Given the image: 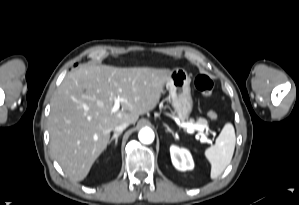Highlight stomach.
I'll return each instance as SVG.
<instances>
[{"label": "stomach", "mask_w": 299, "mask_h": 205, "mask_svg": "<svg viewBox=\"0 0 299 205\" xmlns=\"http://www.w3.org/2000/svg\"><path fill=\"white\" fill-rule=\"evenodd\" d=\"M190 77L183 68H176L166 82V87L172 101V106L180 118L186 119L193 109V99L190 89Z\"/></svg>", "instance_id": "stomach-1"}]
</instances>
